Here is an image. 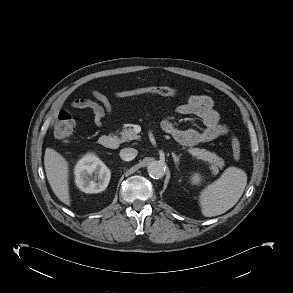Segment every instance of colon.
Wrapping results in <instances>:
<instances>
[{"label": "colon", "mask_w": 293, "mask_h": 293, "mask_svg": "<svg viewBox=\"0 0 293 293\" xmlns=\"http://www.w3.org/2000/svg\"><path fill=\"white\" fill-rule=\"evenodd\" d=\"M178 93L177 89L169 86H149V87H140L134 89H128L117 92V96L121 97H131L139 95L154 94L160 96H174ZM75 120L73 117L65 112L61 111L54 123V135L55 137L62 141L68 142L74 132ZM231 147L232 153L235 160H239L241 157V143L237 136H231Z\"/></svg>", "instance_id": "obj_1"}]
</instances>
